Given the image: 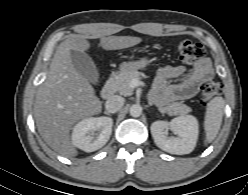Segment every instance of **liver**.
I'll return each mask as SVG.
<instances>
[{
	"label": "liver",
	"mask_w": 248,
	"mask_h": 195,
	"mask_svg": "<svg viewBox=\"0 0 248 195\" xmlns=\"http://www.w3.org/2000/svg\"><path fill=\"white\" fill-rule=\"evenodd\" d=\"M142 41L139 37H102L105 50L133 47ZM90 43L83 35H69L56 49L46 80L38 88L34 117L38 132L54 151L63 156H75L77 150L70 140L73 125L81 119L98 114L101 101L87 79L74 68L70 51L85 52Z\"/></svg>",
	"instance_id": "6515ba94"
}]
</instances>
